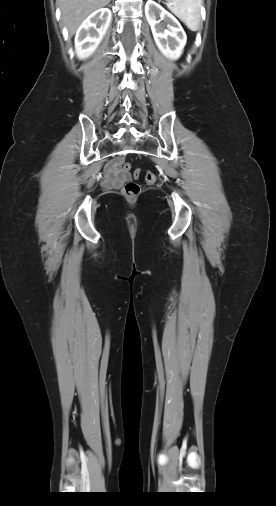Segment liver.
I'll return each mask as SVG.
<instances>
[{
    "label": "liver",
    "mask_w": 276,
    "mask_h": 506,
    "mask_svg": "<svg viewBox=\"0 0 276 506\" xmlns=\"http://www.w3.org/2000/svg\"><path fill=\"white\" fill-rule=\"evenodd\" d=\"M111 0H59L61 18L69 35L75 34L84 19L94 11L105 7Z\"/></svg>",
    "instance_id": "1"
}]
</instances>
